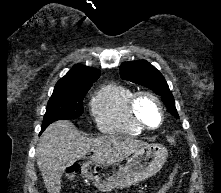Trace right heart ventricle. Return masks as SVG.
<instances>
[{
	"instance_id": "obj_1",
	"label": "right heart ventricle",
	"mask_w": 221,
	"mask_h": 193,
	"mask_svg": "<svg viewBox=\"0 0 221 193\" xmlns=\"http://www.w3.org/2000/svg\"><path fill=\"white\" fill-rule=\"evenodd\" d=\"M134 91L124 85L107 84L90 102L91 113L98 128L106 133L139 136L143 129L132 119L129 103Z\"/></svg>"
}]
</instances>
